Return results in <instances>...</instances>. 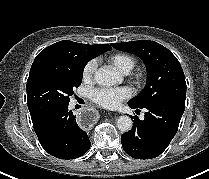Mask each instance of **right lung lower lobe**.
I'll list each match as a JSON object with an SVG mask.
<instances>
[{
    "instance_id": "obj_1",
    "label": "right lung lower lobe",
    "mask_w": 209,
    "mask_h": 179,
    "mask_svg": "<svg viewBox=\"0 0 209 179\" xmlns=\"http://www.w3.org/2000/svg\"><path fill=\"white\" fill-rule=\"evenodd\" d=\"M68 105L63 104L39 120L33 127L43 149L59 159H74L84 155L90 148V140L76 122Z\"/></svg>"
}]
</instances>
